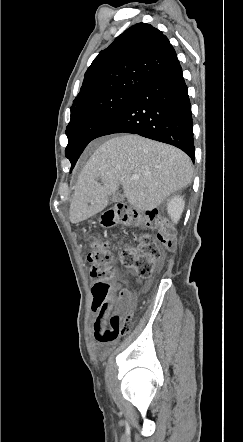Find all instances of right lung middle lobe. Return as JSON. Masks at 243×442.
Returning a JSON list of instances; mask_svg holds the SVG:
<instances>
[{
  "label": "right lung middle lobe",
  "mask_w": 243,
  "mask_h": 442,
  "mask_svg": "<svg viewBox=\"0 0 243 442\" xmlns=\"http://www.w3.org/2000/svg\"><path fill=\"white\" fill-rule=\"evenodd\" d=\"M134 90H119L94 98L71 109V119L66 127L68 145L66 157L75 166L85 147L95 139L97 132L131 96Z\"/></svg>",
  "instance_id": "1"
}]
</instances>
